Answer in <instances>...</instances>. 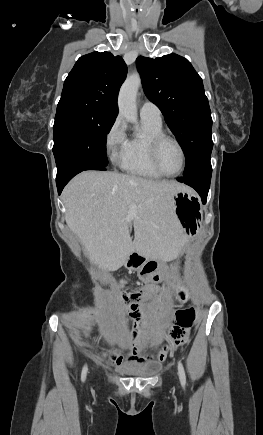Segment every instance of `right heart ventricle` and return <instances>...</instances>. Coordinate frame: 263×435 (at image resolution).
<instances>
[{
    "label": "right heart ventricle",
    "mask_w": 263,
    "mask_h": 435,
    "mask_svg": "<svg viewBox=\"0 0 263 435\" xmlns=\"http://www.w3.org/2000/svg\"><path fill=\"white\" fill-rule=\"evenodd\" d=\"M143 132L127 139L122 158L121 168L129 174L150 179L162 177L151 164L149 145L153 137L163 134L162 122L141 117Z\"/></svg>",
    "instance_id": "obj_1"
}]
</instances>
